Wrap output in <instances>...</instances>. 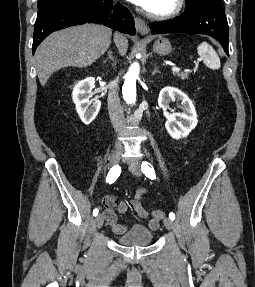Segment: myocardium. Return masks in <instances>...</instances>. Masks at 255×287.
<instances>
[{
    "label": "myocardium",
    "mask_w": 255,
    "mask_h": 287,
    "mask_svg": "<svg viewBox=\"0 0 255 287\" xmlns=\"http://www.w3.org/2000/svg\"><path fill=\"white\" fill-rule=\"evenodd\" d=\"M149 33V32H145ZM163 33H172V32H163ZM138 39H150V38H138ZM160 39H172V38H160ZM168 48H173V47H168Z\"/></svg>",
    "instance_id": "obj_1"
}]
</instances>
